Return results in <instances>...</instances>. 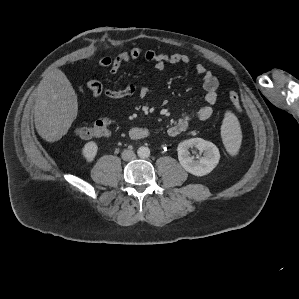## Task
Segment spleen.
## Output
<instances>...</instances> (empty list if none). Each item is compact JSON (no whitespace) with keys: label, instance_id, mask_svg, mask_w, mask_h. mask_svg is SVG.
Here are the masks:
<instances>
[{"label":"spleen","instance_id":"spleen-1","mask_svg":"<svg viewBox=\"0 0 299 299\" xmlns=\"http://www.w3.org/2000/svg\"><path fill=\"white\" fill-rule=\"evenodd\" d=\"M221 136L227 151L236 155L241 144V128L237 117L230 111L225 113L221 126Z\"/></svg>","mask_w":299,"mask_h":299}]
</instances>
